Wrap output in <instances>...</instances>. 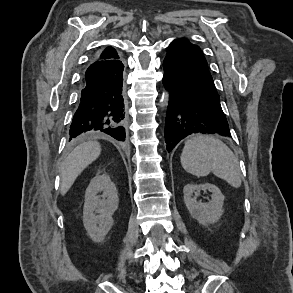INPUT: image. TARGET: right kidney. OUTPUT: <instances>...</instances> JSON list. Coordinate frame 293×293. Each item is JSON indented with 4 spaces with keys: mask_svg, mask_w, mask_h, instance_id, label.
Segmentation results:
<instances>
[{
    "mask_svg": "<svg viewBox=\"0 0 293 293\" xmlns=\"http://www.w3.org/2000/svg\"><path fill=\"white\" fill-rule=\"evenodd\" d=\"M102 199L99 197V193ZM119 204L115 184L106 174L93 178L86 189L83 224L94 242H102L114 224L112 215Z\"/></svg>",
    "mask_w": 293,
    "mask_h": 293,
    "instance_id": "right-kidney-1",
    "label": "right kidney"
}]
</instances>
